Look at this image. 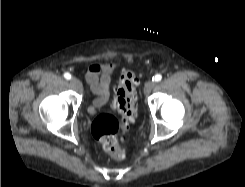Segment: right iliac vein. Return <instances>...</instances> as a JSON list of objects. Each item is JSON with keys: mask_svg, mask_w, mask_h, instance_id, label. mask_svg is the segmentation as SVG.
<instances>
[{"mask_svg": "<svg viewBox=\"0 0 245 187\" xmlns=\"http://www.w3.org/2000/svg\"><path fill=\"white\" fill-rule=\"evenodd\" d=\"M70 84L78 91H82L83 86L82 83L80 82V80H78L77 78H71L70 79Z\"/></svg>", "mask_w": 245, "mask_h": 187, "instance_id": "63e3f726", "label": "right iliac vein"}]
</instances>
